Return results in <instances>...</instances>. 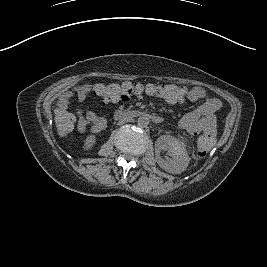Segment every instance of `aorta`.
<instances>
[{"label":"aorta","instance_id":"obj_1","mask_svg":"<svg viewBox=\"0 0 267 267\" xmlns=\"http://www.w3.org/2000/svg\"><path fill=\"white\" fill-rule=\"evenodd\" d=\"M137 124L141 128L147 127L148 124H149V119L147 117H145V116H141V117L138 118Z\"/></svg>","mask_w":267,"mask_h":267}]
</instances>
